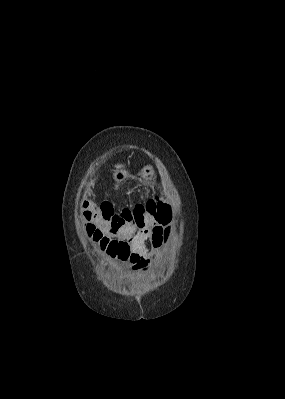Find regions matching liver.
<instances>
[{"instance_id":"1","label":"liver","mask_w":285,"mask_h":399,"mask_svg":"<svg viewBox=\"0 0 285 399\" xmlns=\"http://www.w3.org/2000/svg\"><path fill=\"white\" fill-rule=\"evenodd\" d=\"M121 167H122V165H117V166H116L117 169H119V168H121Z\"/></svg>"}]
</instances>
